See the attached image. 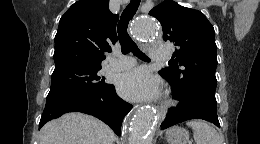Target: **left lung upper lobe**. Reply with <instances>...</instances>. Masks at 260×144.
Listing matches in <instances>:
<instances>
[{"mask_svg": "<svg viewBox=\"0 0 260 144\" xmlns=\"http://www.w3.org/2000/svg\"><path fill=\"white\" fill-rule=\"evenodd\" d=\"M149 15L160 21L164 41L177 47L174 66L159 71L170 83L173 94L182 96L197 91L215 97L217 46L214 28L205 15L172 0L154 7Z\"/></svg>", "mask_w": 260, "mask_h": 144, "instance_id": "left-lung-upper-lobe-1", "label": "left lung upper lobe"}]
</instances>
